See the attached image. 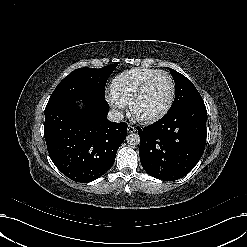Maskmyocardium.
<instances>
[{
	"label": "myocardium",
	"mask_w": 247,
	"mask_h": 247,
	"mask_svg": "<svg viewBox=\"0 0 247 247\" xmlns=\"http://www.w3.org/2000/svg\"><path fill=\"white\" fill-rule=\"evenodd\" d=\"M164 75L166 76L171 84V90H170V94L169 97L166 101V103L162 106V108H160L159 110H157L154 113L148 114V115H141L136 111V103L137 101L140 99V97L142 96V94L144 93V91L147 89V87L158 77ZM174 95H175V83L174 80L172 78V76L166 72V71H159L157 73H155L154 75H152L151 77H149L140 87L139 89L135 92V94L132 96V98L129 101V113L130 115L137 121L142 122V123H149L152 122L156 119H158L159 117H161L162 115H164L167 110L169 109V107L171 106L173 99H174Z\"/></svg>",
	"instance_id": "1"
}]
</instances>
